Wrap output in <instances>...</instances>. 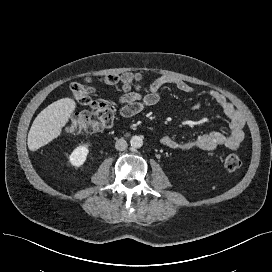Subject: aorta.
Masks as SVG:
<instances>
[{
    "label": "aorta",
    "instance_id": "1",
    "mask_svg": "<svg viewBox=\"0 0 272 272\" xmlns=\"http://www.w3.org/2000/svg\"><path fill=\"white\" fill-rule=\"evenodd\" d=\"M130 144L132 148H140L143 145V138L141 136L135 135L130 139Z\"/></svg>",
    "mask_w": 272,
    "mask_h": 272
}]
</instances>
